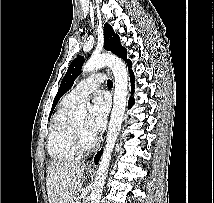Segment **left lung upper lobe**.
<instances>
[{
  "label": "left lung upper lobe",
  "mask_w": 214,
  "mask_h": 203,
  "mask_svg": "<svg viewBox=\"0 0 214 203\" xmlns=\"http://www.w3.org/2000/svg\"><path fill=\"white\" fill-rule=\"evenodd\" d=\"M104 49L115 53L116 55L123 58L126 62L128 61L126 49L121 46L119 36L115 34L112 27L107 23L104 25ZM83 61L84 58L80 56L74 59L69 65L68 70L61 81L58 93L53 101L50 114H52L53 109L55 108V105L58 103L59 99L72 87L75 79L79 76Z\"/></svg>",
  "instance_id": "5c2ea615"
}]
</instances>
